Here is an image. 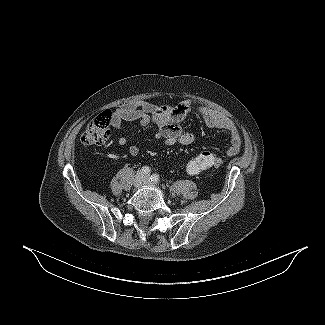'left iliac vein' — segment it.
I'll return each instance as SVG.
<instances>
[{
    "label": "left iliac vein",
    "mask_w": 325,
    "mask_h": 325,
    "mask_svg": "<svg viewBox=\"0 0 325 325\" xmlns=\"http://www.w3.org/2000/svg\"><path fill=\"white\" fill-rule=\"evenodd\" d=\"M144 184H145V185H151V182H150V176H149V175H146V176H145Z\"/></svg>",
    "instance_id": "1"
}]
</instances>
